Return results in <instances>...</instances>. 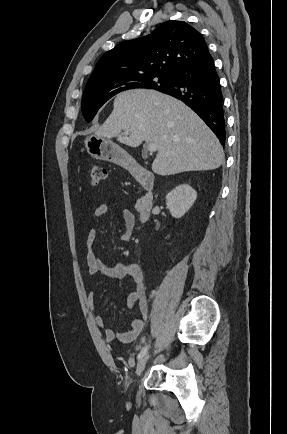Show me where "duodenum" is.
<instances>
[{
  "label": "duodenum",
  "mask_w": 287,
  "mask_h": 434,
  "mask_svg": "<svg viewBox=\"0 0 287 434\" xmlns=\"http://www.w3.org/2000/svg\"><path fill=\"white\" fill-rule=\"evenodd\" d=\"M124 163L126 166L132 169L133 175L137 182L146 189L145 194L142 195L137 202V213L139 221L141 223H146L150 219L154 203V196L152 192L154 187V179L151 174L147 170L139 166L135 160L127 158Z\"/></svg>",
  "instance_id": "1"
}]
</instances>
